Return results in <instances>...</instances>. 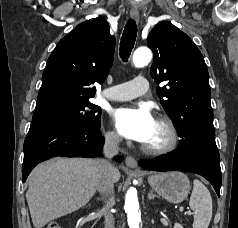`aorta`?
Instances as JSON below:
<instances>
[{
  "label": "aorta",
  "instance_id": "aorta-1",
  "mask_svg": "<svg viewBox=\"0 0 238 228\" xmlns=\"http://www.w3.org/2000/svg\"><path fill=\"white\" fill-rule=\"evenodd\" d=\"M152 59V52L147 47H140L133 54V64L136 67L147 65ZM125 211L127 213L128 225L130 228L141 227V215L139 213V202L137 192L134 188H130L125 195Z\"/></svg>",
  "mask_w": 238,
  "mask_h": 228
}]
</instances>
